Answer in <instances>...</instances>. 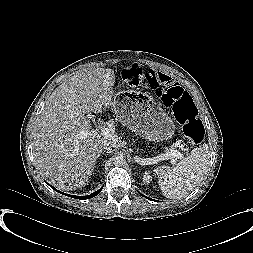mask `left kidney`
I'll list each match as a JSON object with an SVG mask.
<instances>
[{
	"label": "left kidney",
	"mask_w": 253,
	"mask_h": 253,
	"mask_svg": "<svg viewBox=\"0 0 253 253\" xmlns=\"http://www.w3.org/2000/svg\"><path fill=\"white\" fill-rule=\"evenodd\" d=\"M151 180H152V177L149 175L148 172H145V174L143 176V182L145 184H148V183H150Z\"/></svg>",
	"instance_id": "1"
}]
</instances>
